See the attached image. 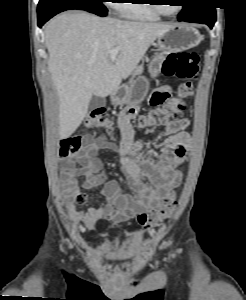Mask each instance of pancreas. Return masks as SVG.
Listing matches in <instances>:
<instances>
[{
  "instance_id": "1",
  "label": "pancreas",
  "mask_w": 246,
  "mask_h": 300,
  "mask_svg": "<svg viewBox=\"0 0 246 300\" xmlns=\"http://www.w3.org/2000/svg\"><path fill=\"white\" fill-rule=\"evenodd\" d=\"M142 72H143V66H142V65L136 67V69H135V71H134V73H133L132 78L135 77V76H137V75H140ZM132 81H133V80L131 79V80H130V83H131Z\"/></svg>"
}]
</instances>
